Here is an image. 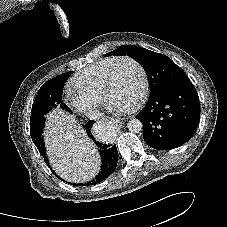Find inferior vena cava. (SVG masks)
I'll use <instances>...</instances> for the list:
<instances>
[{
  "label": "inferior vena cava",
  "instance_id": "obj_1",
  "mask_svg": "<svg viewBox=\"0 0 227 227\" xmlns=\"http://www.w3.org/2000/svg\"><path fill=\"white\" fill-rule=\"evenodd\" d=\"M86 116L92 120H98L102 117V113L97 109H91L86 112Z\"/></svg>",
  "mask_w": 227,
  "mask_h": 227
}]
</instances>
